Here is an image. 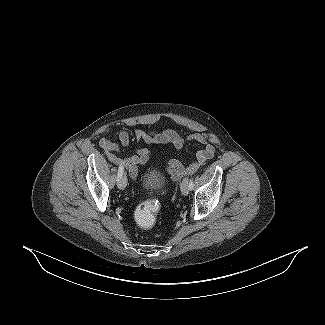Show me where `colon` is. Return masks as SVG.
I'll return each instance as SVG.
<instances>
[{"mask_svg":"<svg viewBox=\"0 0 325 325\" xmlns=\"http://www.w3.org/2000/svg\"><path fill=\"white\" fill-rule=\"evenodd\" d=\"M159 212V206L156 200L147 199L142 202L134 213V219L137 225L143 229H149L156 221Z\"/></svg>","mask_w":325,"mask_h":325,"instance_id":"obj_1","label":"colon"}]
</instances>
